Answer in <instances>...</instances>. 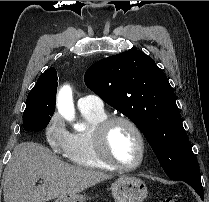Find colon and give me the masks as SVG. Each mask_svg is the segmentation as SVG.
Instances as JSON below:
<instances>
[{
    "label": "colon",
    "mask_w": 209,
    "mask_h": 202,
    "mask_svg": "<svg viewBox=\"0 0 209 202\" xmlns=\"http://www.w3.org/2000/svg\"><path fill=\"white\" fill-rule=\"evenodd\" d=\"M160 202H179L175 197H165Z\"/></svg>",
    "instance_id": "colon-1"
}]
</instances>
